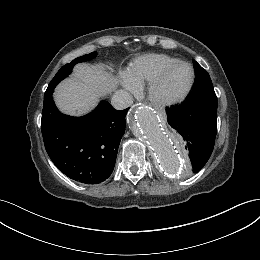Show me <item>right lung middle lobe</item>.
Segmentation results:
<instances>
[{
	"label": "right lung middle lobe",
	"instance_id": "obj_1",
	"mask_svg": "<svg viewBox=\"0 0 260 260\" xmlns=\"http://www.w3.org/2000/svg\"><path fill=\"white\" fill-rule=\"evenodd\" d=\"M97 55V52H92L90 54H86L84 56L78 57L76 59H74L71 63L66 64L65 66H63L58 72L57 74L54 76V78L52 79V81L50 82V84L48 85L47 90H51L54 89L55 86L64 78H66L72 71V68L75 64L79 63V62H84V61H89L92 60L93 58H95Z\"/></svg>",
	"mask_w": 260,
	"mask_h": 260
}]
</instances>
